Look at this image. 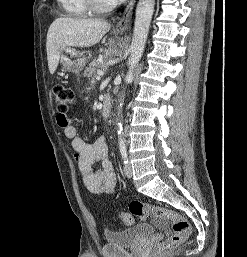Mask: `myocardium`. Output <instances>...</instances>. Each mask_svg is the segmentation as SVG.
Masks as SVG:
<instances>
[{"instance_id":"f54148a6","label":"myocardium","mask_w":247,"mask_h":257,"mask_svg":"<svg viewBox=\"0 0 247 257\" xmlns=\"http://www.w3.org/2000/svg\"><path fill=\"white\" fill-rule=\"evenodd\" d=\"M85 1L90 11L94 13L108 12L112 10L116 5L115 1H109L107 3H101L99 0H85Z\"/></svg>"}]
</instances>
